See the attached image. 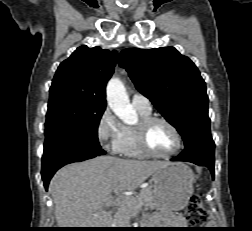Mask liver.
<instances>
[{
	"label": "liver",
	"mask_w": 252,
	"mask_h": 231,
	"mask_svg": "<svg viewBox=\"0 0 252 231\" xmlns=\"http://www.w3.org/2000/svg\"><path fill=\"white\" fill-rule=\"evenodd\" d=\"M164 161L96 157L60 169L50 182L59 228H108L112 212L104 209L112 194L116 200L136 190L147 178L167 167Z\"/></svg>",
	"instance_id": "6515ba94"
}]
</instances>
